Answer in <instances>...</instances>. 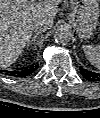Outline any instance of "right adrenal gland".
Segmentation results:
<instances>
[{
	"mask_svg": "<svg viewBox=\"0 0 100 118\" xmlns=\"http://www.w3.org/2000/svg\"><path fill=\"white\" fill-rule=\"evenodd\" d=\"M39 36V33L33 34L32 37L29 39V41L27 42V46H29L30 44H32L33 42L35 43L36 38Z\"/></svg>",
	"mask_w": 100,
	"mask_h": 118,
	"instance_id": "1",
	"label": "right adrenal gland"
}]
</instances>
